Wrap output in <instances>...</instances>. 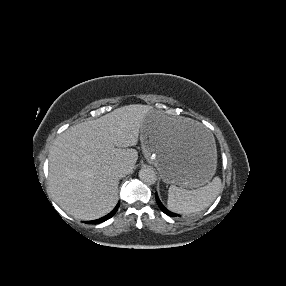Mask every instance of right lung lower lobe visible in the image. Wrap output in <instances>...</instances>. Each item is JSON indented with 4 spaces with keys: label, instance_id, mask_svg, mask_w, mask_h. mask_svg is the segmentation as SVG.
Returning a JSON list of instances; mask_svg holds the SVG:
<instances>
[{
    "label": "right lung lower lobe",
    "instance_id": "1",
    "mask_svg": "<svg viewBox=\"0 0 286 286\" xmlns=\"http://www.w3.org/2000/svg\"><path fill=\"white\" fill-rule=\"evenodd\" d=\"M119 205H120V203H118L116 205V207L108 215H106V216H104V217H102L100 219H97V220L88 221L86 223H88V224H98V223H101V222H104V221L108 220L109 218H111L116 213V211L118 210Z\"/></svg>",
    "mask_w": 286,
    "mask_h": 286
}]
</instances>
